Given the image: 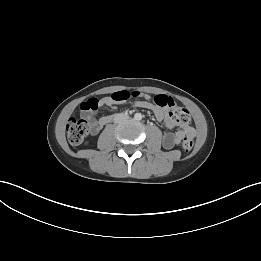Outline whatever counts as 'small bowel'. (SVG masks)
<instances>
[{
  "mask_svg": "<svg viewBox=\"0 0 261 261\" xmlns=\"http://www.w3.org/2000/svg\"><path fill=\"white\" fill-rule=\"evenodd\" d=\"M106 104L108 106H112L113 102L107 100ZM138 106L151 110L156 119L160 122H163L168 128H174L177 124L170 117V109L169 108H161L159 107L153 100L150 101L148 96H145V100L138 102ZM111 115L103 116L98 120H91L90 124V133L95 135L97 134L103 126L108 124L111 121ZM195 133L194 128L190 125H184L180 127L175 133H167L163 136V146L165 149L170 150L175 145L179 144L185 137L193 136Z\"/></svg>",
  "mask_w": 261,
  "mask_h": 261,
  "instance_id": "1",
  "label": "small bowel"
}]
</instances>
